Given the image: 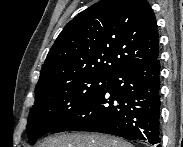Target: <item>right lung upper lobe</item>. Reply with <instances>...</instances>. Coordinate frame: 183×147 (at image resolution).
Returning <instances> with one entry per match:
<instances>
[{
	"mask_svg": "<svg viewBox=\"0 0 183 147\" xmlns=\"http://www.w3.org/2000/svg\"><path fill=\"white\" fill-rule=\"evenodd\" d=\"M159 56L156 18L146 0H100L66 24L35 90L82 77L111 78Z\"/></svg>",
	"mask_w": 183,
	"mask_h": 147,
	"instance_id": "obj_1",
	"label": "right lung upper lobe"
}]
</instances>
